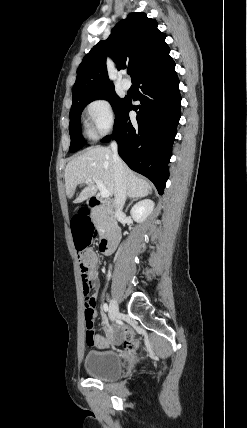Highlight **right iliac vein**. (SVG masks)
<instances>
[{
  "label": "right iliac vein",
  "mask_w": 247,
  "mask_h": 428,
  "mask_svg": "<svg viewBox=\"0 0 247 428\" xmlns=\"http://www.w3.org/2000/svg\"><path fill=\"white\" fill-rule=\"evenodd\" d=\"M119 315V307H118V303L115 299H112L110 301V306H109V317L112 321H114Z\"/></svg>",
  "instance_id": "1"
}]
</instances>
